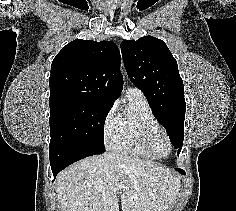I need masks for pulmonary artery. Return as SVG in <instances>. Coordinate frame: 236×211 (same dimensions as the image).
<instances>
[{
	"label": "pulmonary artery",
	"instance_id": "e3ab8cb5",
	"mask_svg": "<svg viewBox=\"0 0 236 211\" xmlns=\"http://www.w3.org/2000/svg\"><path fill=\"white\" fill-rule=\"evenodd\" d=\"M127 97H134V96H143L142 92L138 88L130 87L126 91Z\"/></svg>",
	"mask_w": 236,
	"mask_h": 211
}]
</instances>
